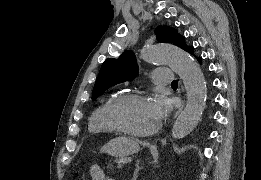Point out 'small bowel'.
<instances>
[{
	"instance_id": "small-bowel-1",
	"label": "small bowel",
	"mask_w": 261,
	"mask_h": 180,
	"mask_svg": "<svg viewBox=\"0 0 261 180\" xmlns=\"http://www.w3.org/2000/svg\"><path fill=\"white\" fill-rule=\"evenodd\" d=\"M89 171H90V175L93 180H105L106 179L105 173L103 172L101 167L98 165H92L90 167Z\"/></svg>"
}]
</instances>
